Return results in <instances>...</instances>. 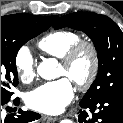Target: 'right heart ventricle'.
I'll use <instances>...</instances> for the list:
<instances>
[{
    "mask_svg": "<svg viewBox=\"0 0 123 123\" xmlns=\"http://www.w3.org/2000/svg\"><path fill=\"white\" fill-rule=\"evenodd\" d=\"M80 40L72 31L58 30L46 34L38 42V48L45 54L61 59Z\"/></svg>",
    "mask_w": 123,
    "mask_h": 123,
    "instance_id": "right-heart-ventricle-1",
    "label": "right heart ventricle"
}]
</instances>
